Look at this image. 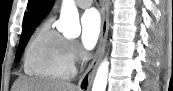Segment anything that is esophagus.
<instances>
[{
	"instance_id": "obj_1",
	"label": "esophagus",
	"mask_w": 173,
	"mask_h": 91,
	"mask_svg": "<svg viewBox=\"0 0 173 91\" xmlns=\"http://www.w3.org/2000/svg\"><path fill=\"white\" fill-rule=\"evenodd\" d=\"M100 5H101L100 12L102 17V24H101L99 44L92 62L87 67V69L83 73L78 83L79 91H89L91 89L97 68L104 55L106 47L108 29H109V0H100Z\"/></svg>"
}]
</instances>
